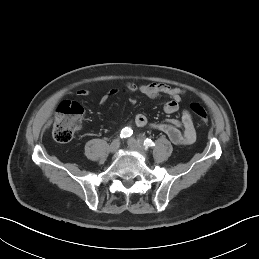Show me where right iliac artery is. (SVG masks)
I'll use <instances>...</instances> for the list:
<instances>
[{"label": "right iliac artery", "mask_w": 259, "mask_h": 259, "mask_svg": "<svg viewBox=\"0 0 259 259\" xmlns=\"http://www.w3.org/2000/svg\"><path fill=\"white\" fill-rule=\"evenodd\" d=\"M132 133H133V131L131 130V128L125 127L122 129L120 137L127 138V137H130L132 135Z\"/></svg>", "instance_id": "82829eb1"}]
</instances>
